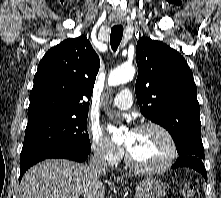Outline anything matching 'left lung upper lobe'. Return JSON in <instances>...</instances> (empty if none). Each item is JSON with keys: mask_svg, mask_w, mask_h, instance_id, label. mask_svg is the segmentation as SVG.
Listing matches in <instances>:
<instances>
[{"mask_svg": "<svg viewBox=\"0 0 221 198\" xmlns=\"http://www.w3.org/2000/svg\"><path fill=\"white\" fill-rule=\"evenodd\" d=\"M136 62L135 90L141 113L168 130L179 157L204 159L197 88L183 56L160 41L142 37Z\"/></svg>", "mask_w": 221, "mask_h": 198, "instance_id": "obj_1", "label": "left lung upper lobe"}]
</instances>
